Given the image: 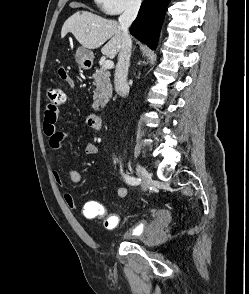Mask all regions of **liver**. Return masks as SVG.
<instances>
[{
  "label": "liver",
  "instance_id": "liver-1",
  "mask_svg": "<svg viewBox=\"0 0 249 294\" xmlns=\"http://www.w3.org/2000/svg\"><path fill=\"white\" fill-rule=\"evenodd\" d=\"M71 32L87 49H96L109 40L101 49L102 54L114 58L121 50L122 31L114 20H108L88 11H78L69 17L61 30V37Z\"/></svg>",
  "mask_w": 249,
  "mask_h": 294
}]
</instances>
